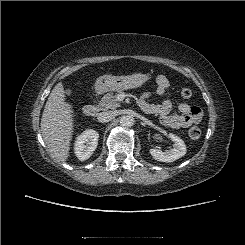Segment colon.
Segmentation results:
<instances>
[{
	"mask_svg": "<svg viewBox=\"0 0 245 245\" xmlns=\"http://www.w3.org/2000/svg\"><path fill=\"white\" fill-rule=\"evenodd\" d=\"M192 95V92L189 88L183 87L180 90V96L183 99H189ZM189 138L192 140H198L201 137V130L197 127H193L188 132Z\"/></svg>",
	"mask_w": 245,
	"mask_h": 245,
	"instance_id": "1",
	"label": "colon"
}]
</instances>
